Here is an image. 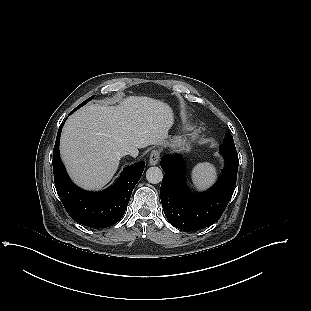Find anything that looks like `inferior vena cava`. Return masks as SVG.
<instances>
[{
	"mask_svg": "<svg viewBox=\"0 0 311 311\" xmlns=\"http://www.w3.org/2000/svg\"><path fill=\"white\" fill-rule=\"evenodd\" d=\"M126 154L128 155V156H135L136 155V153H137V148L135 147V146H127L126 147Z\"/></svg>",
	"mask_w": 311,
	"mask_h": 311,
	"instance_id": "1",
	"label": "inferior vena cava"
}]
</instances>
